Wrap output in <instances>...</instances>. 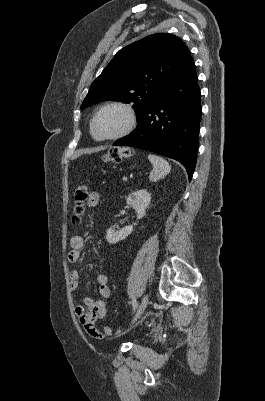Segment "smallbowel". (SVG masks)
<instances>
[{
    "instance_id": "small-bowel-1",
    "label": "small bowel",
    "mask_w": 265,
    "mask_h": 401,
    "mask_svg": "<svg viewBox=\"0 0 265 401\" xmlns=\"http://www.w3.org/2000/svg\"><path fill=\"white\" fill-rule=\"evenodd\" d=\"M100 203V195L98 192H92L88 199V205L95 207ZM70 251L68 252L67 258L70 263H76L80 259L81 250L84 247V239L80 235H74L69 241ZM70 287L72 290L77 289L79 285V273L76 270H72L69 273ZM96 283L99 295L105 299L111 294L109 287V277L107 274L100 273L96 276ZM83 306L77 305L74 311L79 319V322L86 328L88 324L94 323L97 319H102L107 314V307L104 300H94L91 297H85L83 299Z\"/></svg>"
}]
</instances>
